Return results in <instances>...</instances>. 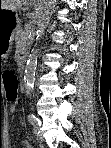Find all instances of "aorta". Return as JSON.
<instances>
[{
	"mask_svg": "<svg viewBox=\"0 0 111 148\" xmlns=\"http://www.w3.org/2000/svg\"><path fill=\"white\" fill-rule=\"evenodd\" d=\"M55 0H41L36 9L35 21L37 25V39L44 33L46 26L49 23L52 14ZM37 65V52L33 51L29 55V60L24 73V83L26 94L30 95L33 90L35 70Z\"/></svg>",
	"mask_w": 111,
	"mask_h": 148,
	"instance_id": "1",
	"label": "aorta"
}]
</instances>
